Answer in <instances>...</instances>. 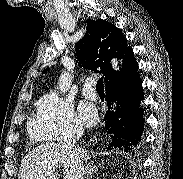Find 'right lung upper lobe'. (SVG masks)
Masks as SVG:
<instances>
[{"label":"right lung upper lobe","instance_id":"obj_1","mask_svg":"<svg viewBox=\"0 0 183 179\" xmlns=\"http://www.w3.org/2000/svg\"><path fill=\"white\" fill-rule=\"evenodd\" d=\"M86 23V34L76 43V57L80 67L104 73L107 85L138 65L120 29L104 20L89 19ZM122 59L123 66L116 71L114 67L117 61Z\"/></svg>","mask_w":183,"mask_h":179}]
</instances>
